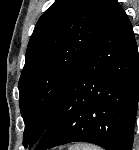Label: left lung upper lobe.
<instances>
[{
    "mask_svg": "<svg viewBox=\"0 0 139 150\" xmlns=\"http://www.w3.org/2000/svg\"><path fill=\"white\" fill-rule=\"evenodd\" d=\"M115 1L56 0L39 18L18 83L25 148L39 141L49 126Z\"/></svg>",
    "mask_w": 139,
    "mask_h": 150,
    "instance_id": "1",
    "label": "left lung upper lobe"
}]
</instances>
